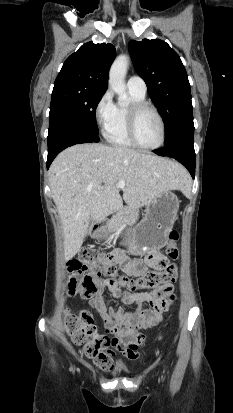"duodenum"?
I'll return each instance as SVG.
<instances>
[{
	"mask_svg": "<svg viewBox=\"0 0 233 413\" xmlns=\"http://www.w3.org/2000/svg\"><path fill=\"white\" fill-rule=\"evenodd\" d=\"M106 224H107L106 221H101V222L96 223V224L93 226V229H92L93 234H96V233H97L100 229H102Z\"/></svg>",
	"mask_w": 233,
	"mask_h": 413,
	"instance_id": "1",
	"label": "duodenum"
}]
</instances>
